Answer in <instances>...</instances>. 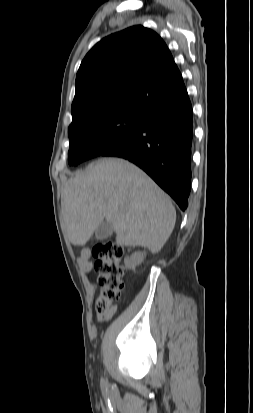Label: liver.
<instances>
[{
  "label": "liver",
  "instance_id": "1",
  "mask_svg": "<svg viewBox=\"0 0 253 413\" xmlns=\"http://www.w3.org/2000/svg\"><path fill=\"white\" fill-rule=\"evenodd\" d=\"M63 218L70 242L85 245L106 220L123 246L158 253L170 237L175 208L157 184L134 164L104 158L68 180L63 191Z\"/></svg>",
  "mask_w": 253,
  "mask_h": 413
}]
</instances>
